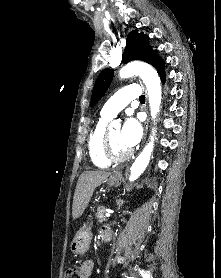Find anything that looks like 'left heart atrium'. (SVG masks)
Segmentation results:
<instances>
[{
	"label": "left heart atrium",
	"mask_w": 221,
	"mask_h": 278,
	"mask_svg": "<svg viewBox=\"0 0 221 278\" xmlns=\"http://www.w3.org/2000/svg\"><path fill=\"white\" fill-rule=\"evenodd\" d=\"M141 126L135 118H128L120 131V141L128 149L133 148L140 140Z\"/></svg>",
	"instance_id": "left-heart-atrium-1"
}]
</instances>
